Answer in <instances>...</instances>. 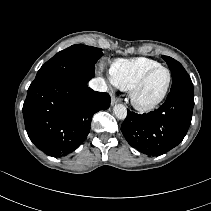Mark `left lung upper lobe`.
Here are the masks:
<instances>
[{"instance_id":"obj_1","label":"left lung upper lobe","mask_w":211,"mask_h":211,"mask_svg":"<svg viewBox=\"0 0 211 211\" xmlns=\"http://www.w3.org/2000/svg\"><path fill=\"white\" fill-rule=\"evenodd\" d=\"M168 64L172 73L171 91H191L194 92L192 81L184 67L175 59L169 56H162Z\"/></svg>"}]
</instances>
